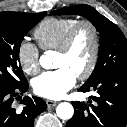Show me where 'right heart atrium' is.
<instances>
[{"mask_svg":"<svg viewBox=\"0 0 127 127\" xmlns=\"http://www.w3.org/2000/svg\"><path fill=\"white\" fill-rule=\"evenodd\" d=\"M17 58L22 70L28 75H35L40 70L39 50L35 44L23 40L17 48Z\"/></svg>","mask_w":127,"mask_h":127,"instance_id":"right-heart-atrium-1","label":"right heart atrium"}]
</instances>
